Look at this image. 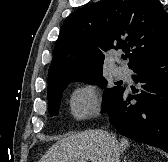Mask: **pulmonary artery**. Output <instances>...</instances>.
Here are the masks:
<instances>
[{
	"instance_id": "e3ab8cb5",
	"label": "pulmonary artery",
	"mask_w": 168,
	"mask_h": 162,
	"mask_svg": "<svg viewBox=\"0 0 168 162\" xmlns=\"http://www.w3.org/2000/svg\"><path fill=\"white\" fill-rule=\"evenodd\" d=\"M116 76L118 78H127L128 77V71L126 68L124 67H120L116 70L115 72Z\"/></svg>"
}]
</instances>
